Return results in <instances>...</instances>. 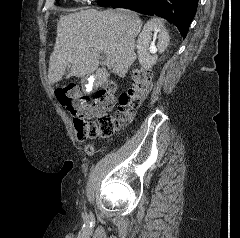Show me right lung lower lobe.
Listing matches in <instances>:
<instances>
[{
	"label": "right lung lower lobe",
	"instance_id": "1",
	"mask_svg": "<svg viewBox=\"0 0 240 238\" xmlns=\"http://www.w3.org/2000/svg\"><path fill=\"white\" fill-rule=\"evenodd\" d=\"M101 7L128 8L146 15H156L173 23L183 37L195 16L198 0H99Z\"/></svg>",
	"mask_w": 240,
	"mask_h": 238
}]
</instances>
